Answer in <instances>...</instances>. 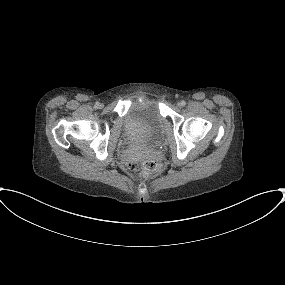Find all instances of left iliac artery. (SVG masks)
Wrapping results in <instances>:
<instances>
[{
	"mask_svg": "<svg viewBox=\"0 0 285 285\" xmlns=\"http://www.w3.org/2000/svg\"><path fill=\"white\" fill-rule=\"evenodd\" d=\"M181 105H182V106H185V105H186V102H185L184 100H182V101H181Z\"/></svg>",
	"mask_w": 285,
	"mask_h": 285,
	"instance_id": "44dca946",
	"label": "left iliac artery"
}]
</instances>
